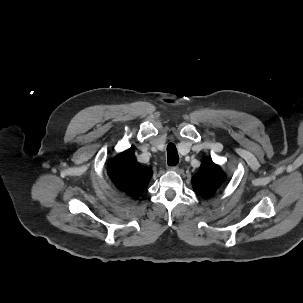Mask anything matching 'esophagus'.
I'll return each instance as SVG.
<instances>
[{
	"label": "esophagus",
	"instance_id": "esophagus-1",
	"mask_svg": "<svg viewBox=\"0 0 303 303\" xmlns=\"http://www.w3.org/2000/svg\"><path fill=\"white\" fill-rule=\"evenodd\" d=\"M169 169L172 170V171H178L179 167L178 166H170Z\"/></svg>",
	"mask_w": 303,
	"mask_h": 303
}]
</instances>
